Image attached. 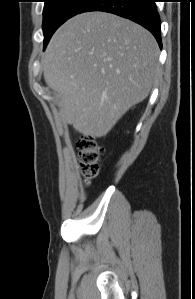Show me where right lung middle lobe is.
Segmentation results:
<instances>
[{
    "instance_id": "right-lung-middle-lobe-1",
    "label": "right lung middle lobe",
    "mask_w": 195,
    "mask_h": 299,
    "mask_svg": "<svg viewBox=\"0 0 195 299\" xmlns=\"http://www.w3.org/2000/svg\"><path fill=\"white\" fill-rule=\"evenodd\" d=\"M89 0H45L43 10L44 48L55 30L78 14Z\"/></svg>"
}]
</instances>
